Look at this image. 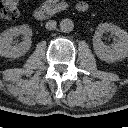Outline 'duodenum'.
Returning <instances> with one entry per match:
<instances>
[{"instance_id":"410a0bca","label":"duodenum","mask_w":128,"mask_h":128,"mask_svg":"<svg viewBox=\"0 0 128 128\" xmlns=\"http://www.w3.org/2000/svg\"><path fill=\"white\" fill-rule=\"evenodd\" d=\"M88 8V4L85 1H79L76 4V10L78 12L84 13L88 10ZM33 15L37 20H47L51 17L49 11L44 7L36 8Z\"/></svg>"}]
</instances>
